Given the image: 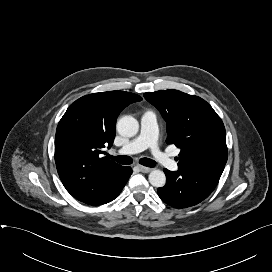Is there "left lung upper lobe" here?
I'll list each match as a JSON object with an SVG mask.
<instances>
[{
    "instance_id": "left-lung-upper-lobe-1",
    "label": "left lung upper lobe",
    "mask_w": 272,
    "mask_h": 272,
    "mask_svg": "<svg viewBox=\"0 0 272 272\" xmlns=\"http://www.w3.org/2000/svg\"><path fill=\"white\" fill-rule=\"evenodd\" d=\"M144 97L166 121V142L181 149L179 168L223 172L228 158L225 127L209 103L173 89L148 92Z\"/></svg>"
}]
</instances>
